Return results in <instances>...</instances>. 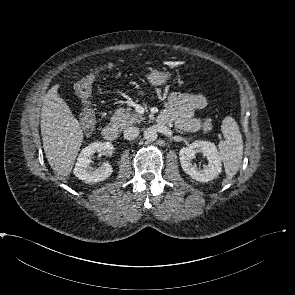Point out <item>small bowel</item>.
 <instances>
[{"mask_svg":"<svg viewBox=\"0 0 295 295\" xmlns=\"http://www.w3.org/2000/svg\"><path fill=\"white\" fill-rule=\"evenodd\" d=\"M206 98L202 95L173 92L169 95L159 121L174 123L184 130H195L199 121L194 118V112L206 106Z\"/></svg>","mask_w":295,"mask_h":295,"instance_id":"c3829d8e","label":"small bowel"}]
</instances>
